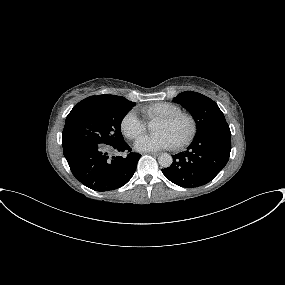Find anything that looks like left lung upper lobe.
Instances as JSON below:
<instances>
[{"label":"left lung upper lobe","instance_id":"5c2ea615","mask_svg":"<svg viewBox=\"0 0 285 285\" xmlns=\"http://www.w3.org/2000/svg\"><path fill=\"white\" fill-rule=\"evenodd\" d=\"M173 101L191 113L197 126L196 135L210 130L230 131L222 111L210 98L197 92L185 91Z\"/></svg>","mask_w":285,"mask_h":285}]
</instances>
